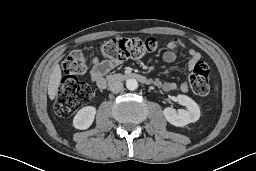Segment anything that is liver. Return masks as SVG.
<instances>
[{
  "instance_id": "obj_1",
  "label": "liver",
  "mask_w": 256,
  "mask_h": 171,
  "mask_svg": "<svg viewBox=\"0 0 256 171\" xmlns=\"http://www.w3.org/2000/svg\"><path fill=\"white\" fill-rule=\"evenodd\" d=\"M61 80V69L58 64H55L52 73L50 75L49 84H48V95L51 100H54L57 89L59 87V83Z\"/></svg>"
}]
</instances>
